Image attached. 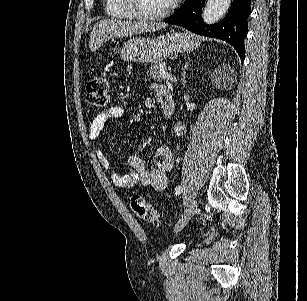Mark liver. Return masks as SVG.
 <instances>
[{
  "instance_id": "1",
  "label": "liver",
  "mask_w": 307,
  "mask_h": 301,
  "mask_svg": "<svg viewBox=\"0 0 307 301\" xmlns=\"http://www.w3.org/2000/svg\"><path fill=\"white\" fill-rule=\"evenodd\" d=\"M164 22H148V20H118V18H104L98 20L90 34L89 48L94 52L109 38H123L141 32H156L165 28Z\"/></svg>"
}]
</instances>
